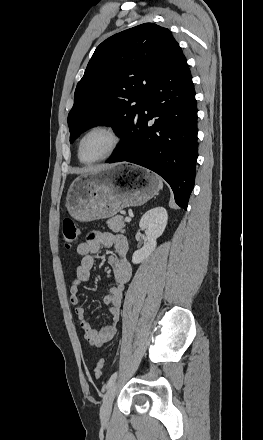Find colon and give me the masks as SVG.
<instances>
[{
	"mask_svg": "<svg viewBox=\"0 0 263 440\" xmlns=\"http://www.w3.org/2000/svg\"><path fill=\"white\" fill-rule=\"evenodd\" d=\"M79 228L72 219H65L62 224L63 243L65 247L74 246L79 238ZM104 360L99 359L94 367V375L97 379L103 374Z\"/></svg>",
	"mask_w": 263,
	"mask_h": 440,
	"instance_id": "colon-1",
	"label": "colon"
}]
</instances>
